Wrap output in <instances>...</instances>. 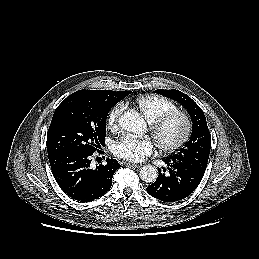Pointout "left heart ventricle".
<instances>
[{
	"label": "left heart ventricle",
	"instance_id": "left-heart-ventricle-1",
	"mask_svg": "<svg viewBox=\"0 0 259 259\" xmlns=\"http://www.w3.org/2000/svg\"><path fill=\"white\" fill-rule=\"evenodd\" d=\"M182 129V122L179 119H174L161 130L160 137L165 143H171L179 138Z\"/></svg>",
	"mask_w": 259,
	"mask_h": 259
}]
</instances>
